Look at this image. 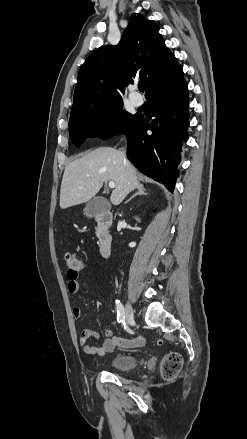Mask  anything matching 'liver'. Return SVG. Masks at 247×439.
Masks as SVG:
<instances>
[{
	"label": "liver",
	"mask_w": 247,
	"mask_h": 439,
	"mask_svg": "<svg viewBox=\"0 0 247 439\" xmlns=\"http://www.w3.org/2000/svg\"><path fill=\"white\" fill-rule=\"evenodd\" d=\"M113 181L110 196L119 205L139 185L137 172L124 153L100 147L70 162L64 171L60 189V207L66 209L90 201L104 183Z\"/></svg>",
	"instance_id": "liver-1"
}]
</instances>
